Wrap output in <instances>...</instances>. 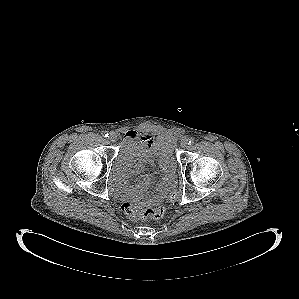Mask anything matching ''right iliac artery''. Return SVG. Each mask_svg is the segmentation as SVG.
<instances>
[{"label": "right iliac artery", "instance_id": "right-iliac-artery-1", "mask_svg": "<svg viewBox=\"0 0 299 299\" xmlns=\"http://www.w3.org/2000/svg\"><path fill=\"white\" fill-rule=\"evenodd\" d=\"M102 135H103V137H109V136H108L109 134H108V132H106V131L103 132Z\"/></svg>", "mask_w": 299, "mask_h": 299}]
</instances>
